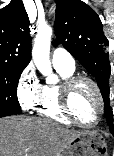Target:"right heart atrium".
Here are the masks:
<instances>
[{
  "label": "right heart atrium",
  "mask_w": 114,
  "mask_h": 156,
  "mask_svg": "<svg viewBox=\"0 0 114 156\" xmlns=\"http://www.w3.org/2000/svg\"><path fill=\"white\" fill-rule=\"evenodd\" d=\"M42 85L31 65L25 67L16 84V96L23 110L33 109L38 102Z\"/></svg>",
  "instance_id": "obj_1"
}]
</instances>
